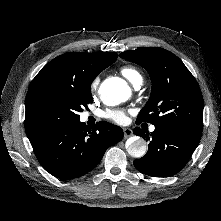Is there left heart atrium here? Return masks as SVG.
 <instances>
[{"label": "left heart atrium", "instance_id": "39dd6f15", "mask_svg": "<svg viewBox=\"0 0 221 221\" xmlns=\"http://www.w3.org/2000/svg\"><path fill=\"white\" fill-rule=\"evenodd\" d=\"M103 116L118 124L126 122V112L121 109H108L103 113Z\"/></svg>", "mask_w": 221, "mask_h": 221}]
</instances>
